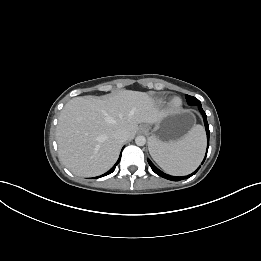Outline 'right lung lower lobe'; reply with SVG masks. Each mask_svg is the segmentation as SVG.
<instances>
[{"label": "right lung lower lobe", "mask_w": 261, "mask_h": 261, "mask_svg": "<svg viewBox=\"0 0 261 261\" xmlns=\"http://www.w3.org/2000/svg\"><path fill=\"white\" fill-rule=\"evenodd\" d=\"M120 159H121V155H120L118 161L115 163V165L108 172H106L105 174L101 175L100 177H103V176H106V175H109L110 173H112L115 170L116 166L118 165ZM95 178H99V177H95Z\"/></svg>", "instance_id": "obj_1"}]
</instances>
